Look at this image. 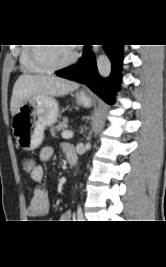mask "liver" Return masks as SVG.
<instances>
[{
  "label": "liver",
  "mask_w": 166,
  "mask_h": 267,
  "mask_svg": "<svg viewBox=\"0 0 166 267\" xmlns=\"http://www.w3.org/2000/svg\"><path fill=\"white\" fill-rule=\"evenodd\" d=\"M79 85L75 82L54 75L22 74L14 84L10 111L13 116L17 109L28 99L35 96H64L76 90Z\"/></svg>",
  "instance_id": "1"
}]
</instances>
